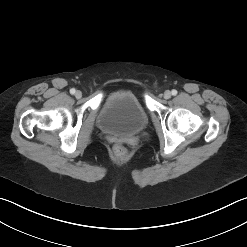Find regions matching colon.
Listing matches in <instances>:
<instances>
[{
  "label": "colon",
  "instance_id": "colon-1",
  "mask_svg": "<svg viewBox=\"0 0 247 247\" xmlns=\"http://www.w3.org/2000/svg\"><path fill=\"white\" fill-rule=\"evenodd\" d=\"M114 154H115L116 158L120 161H124L127 158L126 149L120 145H118L114 148Z\"/></svg>",
  "mask_w": 247,
  "mask_h": 247
}]
</instances>
